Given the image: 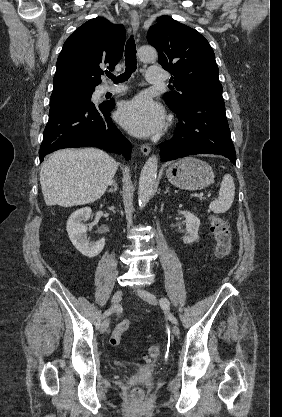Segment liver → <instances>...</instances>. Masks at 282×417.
<instances>
[{"label":"liver","instance_id":"obj_1","mask_svg":"<svg viewBox=\"0 0 282 417\" xmlns=\"http://www.w3.org/2000/svg\"><path fill=\"white\" fill-rule=\"evenodd\" d=\"M118 162L99 148H62L50 154L40 170V184L48 206L94 202L110 184Z\"/></svg>","mask_w":282,"mask_h":417}]
</instances>
